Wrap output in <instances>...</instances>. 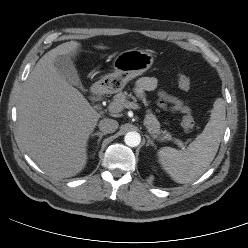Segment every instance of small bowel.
<instances>
[{
  "label": "small bowel",
  "mask_w": 248,
  "mask_h": 248,
  "mask_svg": "<svg viewBox=\"0 0 248 248\" xmlns=\"http://www.w3.org/2000/svg\"><path fill=\"white\" fill-rule=\"evenodd\" d=\"M157 87V79L152 76H144L138 79L135 85V92L143 98L146 92L155 90ZM158 105L165 110H170L179 113H189L190 109L186 103L180 98L168 94L166 92H159Z\"/></svg>",
  "instance_id": "obj_1"
}]
</instances>
